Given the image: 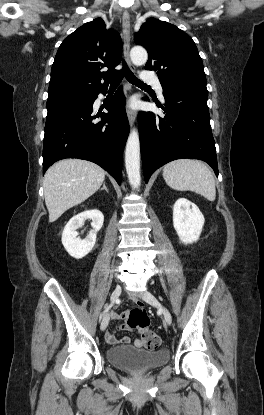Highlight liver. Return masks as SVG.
<instances>
[{
	"instance_id": "obj_1",
	"label": "liver",
	"mask_w": 264,
	"mask_h": 415,
	"mask_svg": "<svg viewBox=\"0 0 264 415\" xmlns=\"http://www.w3.org/2000/svg\"><path fill=\"white\" fill-rule=\"evenodd\" d=\"M104 180L105 171L90 161L64 159L52 165L43 183L49 222L92 196Z\"/></svg>"
}]
</instances>
